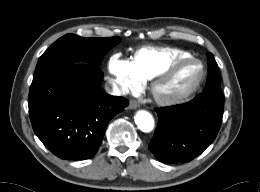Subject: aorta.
<instances>
[{
	"mask_svg": "<svg viewBox=\"0 0 260 192\" xmlns=\"http://www.w3.org/2000/svg\"><path fill=\"white\" fill-rule=\"evenodd\" d=\"M134 119L136 125L142 132L149 133L153 130L154 118L149 112L145 110H139L136 112Z\"/></svg>",
	"mask_w": 260,
	"mask_h": 192,
	"instance_id": "obj_1",
	"label": "aorta"
}]
</instances>
